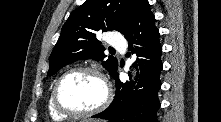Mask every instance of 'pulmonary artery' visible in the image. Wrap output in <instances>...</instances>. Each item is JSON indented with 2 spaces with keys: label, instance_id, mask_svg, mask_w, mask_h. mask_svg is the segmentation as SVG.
Wrapping results in <instances>:
<instances>
[{
  "label": "pulmonary artery",
  "instance_id": "obj_1",
  "mask_svg": "<svg viewBox=\"0 0 221 122\" xmlns=\"http://www.w3.org/2000/svg\"><path fill=\"white\" fill-rule=\"evenodd\" d=\"M110 45L116 49L124 51L126 49V41L120 35H114L110 39Z\"/></svg>",
  "mask_w": 221,
  "mask_h": 122
}]
</instances>
